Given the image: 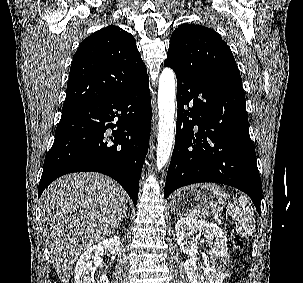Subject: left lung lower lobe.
Masks as SVG:
<instances>
[{
    "label": "left lung lower lobe",
    "instance_id": "left-lung-lower-lobe-1",
    "mask_svg": "<svg viewBox=\"0 0 303 283\" xmlns=\"http://www.w3.org/2000/svg\"><path fill=\"white\" fill-rule=\"evenodd\" d=\"M174 72L176 138L164 197L194 183H222L245 192L260 214L262 184L241 82L226 75Z\"/></svg>",
    "mask_w": 303,
    "mask_h": 283
}]
</instances>
